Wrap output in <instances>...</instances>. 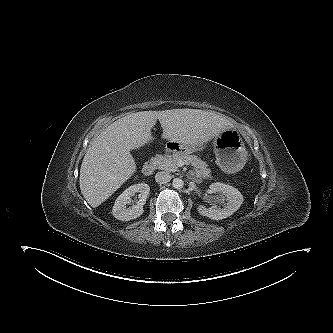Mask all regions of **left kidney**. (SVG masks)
Returning a JSON list of instances; mask_svg holds the SVG:
<instances>
[{
	"instance_id": "5707ae66",
	"label": "left kidney",
	"mask_w": 333,
	"mask_h": 333,
	"mask_svg": "<svg viewBox=\"0 0 333 333\" xmlns=\"http://www.w3.org/2000/svg\"><path fill=\"white\" fill-rule=\"evenodd\" d=\"M210 189L213 192L222 193L223 198L217 200L218 203H224L226 201V206L224 208L217 207L212 205L209 208H206L203 205L197 207L198 213L202 216L208 217L212 220H221L232 215L243 203L242 194L230 185L223 183H213L210 186Z\"/></svg>"
}]
</instances>
